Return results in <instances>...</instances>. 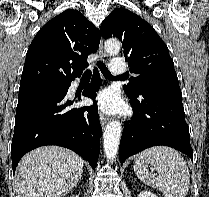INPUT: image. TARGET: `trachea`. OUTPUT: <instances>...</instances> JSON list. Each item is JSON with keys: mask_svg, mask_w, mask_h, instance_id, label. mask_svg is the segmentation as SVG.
Returning <instances> with one entry per match:
<instances>
[{"mask_svg": "<svg viewBox=\"0 0 209 197\" xmlns=\"http://www.w3.org/2000/svg\"><path fill=\"white\" fill-rule=\"evenodd\" d=\"M97 65L100 69V71L102 72V74L107 77V78H114V76L110 73V71L107 69V67L105 66V64H103V62L101 61H97ZM92 74L91 70L90 69H87L83 76L84 77H90ZM125 75H120V76H116L117 78L119 77H124Z\"/></svg>", "mask_w": 209, "mask_h": 197, "instance_id": "3493384b", "label": "trachea"}]
</instances>
